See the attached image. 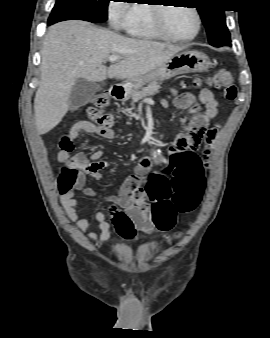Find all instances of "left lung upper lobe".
I'll return each instance as SVG.
<instances>
[{
  "instance_id": "1",
  "label": "left lung upper lobe",
  "mask_w": 270,
  "mask_h": 338,
  "mask_svg": "<svg viewBox=\"0 0 270 338\" xmlns=\"http://www.w3.org/2000/svg\"><path fill=\"white\" fill-rule=\"evenodd\" d=\"M197 8L206 27L208 41L212 46L230 45V33L225 23L224 10L217 6L221 0H200Z\"/></svg>"
}]
</instances>
